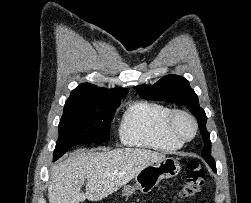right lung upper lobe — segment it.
<instances>
[{
	"label": "right lung upper lobe",
	"mask_w": 251,
	"mask_h": 203,
	"mask_svg": "<svg viewBox=\"0 0 251 203\" xmlns=\"http://www.w3.org/2000/svg\"><path fill=\"white\" fill-rule=\"evenodd\" d=\"M126 89H103L95 85L85 83L74 89L65 105L85 103H115L127 94Z\"/></svg>",
	"instance_id": "obj_1"
}]
</instances>
